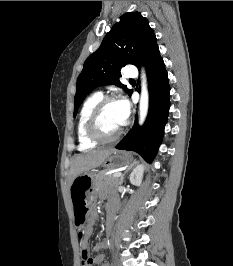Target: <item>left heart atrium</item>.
<instances>
[{
  "label": "left heart atrium",
  "mask_w": 233,
  "mask_h": 266,
  "mask_svg": "<svg viewBox=\"0 0 233 266\" xmlns=\"http://www.w3.org/2000/svg\"><path fill=\"white\" fill-rule=\"evenodd\" d=\"M121 124H125L130 115V104L126 99L117 101Z\"/></svg>",
  "instance_id": "left-heart-atrium-1"
}]
</instances>
